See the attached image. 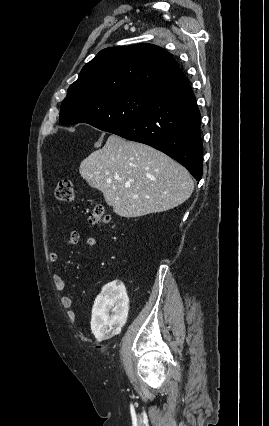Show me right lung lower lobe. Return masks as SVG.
<instances>
[{
  "instance_id": "1",
  "label": "right lung lower lobe",
  "mask_w": 269,
  "mask_h": 426,
  "mask_svg": "<svg viewBox=\"0 0 269 426\" xmlns=\"http://www.w3.org/2000/svg\"><path fill=\"white\" fill-rule=\"evenodd\" d=\"M200 112L187 78L161 88L139 118L111 133L147 144L182 164L196 180L202 177Z\"/></svg>"
}]
</instances>
